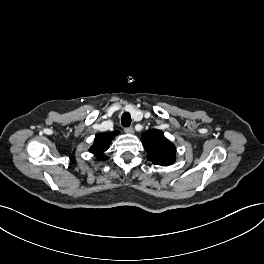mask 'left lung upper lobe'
Masks as SVG:
<instances>
[{
	"instance_id": "left-lung-upper-lobe-1",
	"label": "left lung upper lobe",
	"mask_w": 264,
	"mask_h": 264,
	"mask_svg": "<svg viewBox=\"0 0 264 264\" xmlns=\"http://www.w3.org/2000/svg\"><path fill=\"white\" fill-rule=\"evenodd\" d=\"M142 144L147 151V159L153 164L171 165L175 161L176 148L165 138L161 130H148L142 134Z\"/></svg>"
}]
</instances>
